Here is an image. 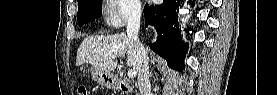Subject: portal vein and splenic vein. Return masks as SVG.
I'll return each instance as SVG.
<instances>
[{
  "label": "portal vein and splenic vein",
  "mask_w": 277,
  "mask_h": 95,
  "mask_svg": "<svg viewBox=\"0 0 277 95\" xmlns=\"http://www.w3.org/2000/svg\"><path fill=\"white\" fill-rule=\"evenodd\" d=\"M137 75V72L135 70H129L128 71V77L129 78H135Z\"/></svg>",
  "instance_id": "obj_1"
}]
</instances>
